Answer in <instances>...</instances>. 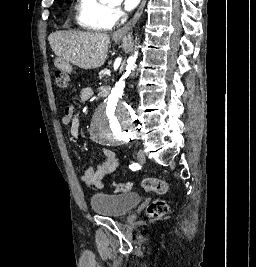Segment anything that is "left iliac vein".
Wrapping results in <instances>:
<instances>
[{
	"label": "left iliac vein",
	"instance_id": "obj_1",
	"mask_svg": "<svg viewBox=\"0 0 256 267\" xmlns=\"http://www.w3.org/2000/svg\"><path fill=\"white\" fill-rule=\"evenodd\" d=\"M137 160L140 164H144L146 162V156L141 150H139L137 153Z\"/></svg>",
	"mask_w": 256,
	"mask_h": 267
}]
</instances>
